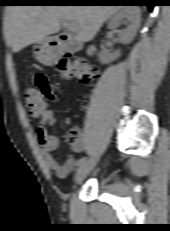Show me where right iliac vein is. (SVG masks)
Here are the masks:
<instances>
[{
  "instance_id": "63e3f726",
  "label": "right iliac vein",
  "mask_w": 170,
  "mask_h": 231,
  "mask_svg": "<svg viewBox=\"0 0 170 231\" xmlns=\"http://www.w3.org/2000/svg\"><path fill=\"white\" fill-rule=\"evenodd\" d=\"M97 161H98V158H93L89 162L80 166V168L77 170V172L75 174V178H74L76 184L81 183L87 177V175L95 167Z\"/></svg>"
}]
</instances>
